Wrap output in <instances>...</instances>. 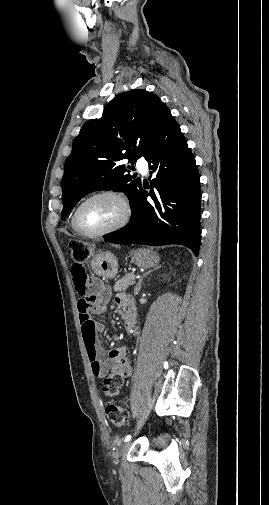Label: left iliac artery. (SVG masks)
<instances>
[{"mask_svg":"<svg viewBox=\"0 0 269 505\" xmlns=\"http://www.w3.org/2000/svg\"><path fill=\"white\" fill-rule=\"evenodd\" d=\"M131 439V435H127L125 438H124V442H128L129 440Z\"/></svg>","mask_w":269,"mask_h":505,"instance_id":"obj_1","label":"left iliac artery"}]
</instances>
